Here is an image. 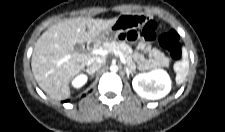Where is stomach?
<instances>
[{
  "label": "stomach",
  "mask_w": 225,
  "mask_h": 132,
  "mask_svg": "<svg viewBox=\"0 0 225 132\" xmlns=\"http://www.w3.org/2000/svg\"><path fill=\"white\" fill-rule=\"evenodd\" d=\"M115 25V24H114ZM114 25L103 32L97 37V41H114L122 32L121 29L115 28Z\"/></svg>",
  "instance_id": "obj_1"
}]
</instances>
